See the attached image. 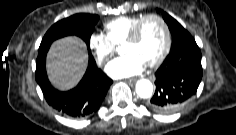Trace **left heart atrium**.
<instances>
[{"instance_id":"obj_1","label":"left heart atrium","mask_w":236,"mask_h":135,"mask_svg":"<svg viewBox=\"0 0 236 135\" xmlns=\"http://www.w3.org/2000/svg\"><path fill=\"white\" fill-rule=\"evenodd\" d=\"M145 61L135 53H127L111 61L106 72L113 78H126L141 73L145 67Z\"/></svg>"}]
</instances>
